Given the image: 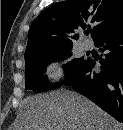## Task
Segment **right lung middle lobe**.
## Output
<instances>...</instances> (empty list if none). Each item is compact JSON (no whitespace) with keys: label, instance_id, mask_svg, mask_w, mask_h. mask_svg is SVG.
I'll return each mask as SVG.
<instances>
[{"label":"right lung middle lobe","instance_id":"1","mask_svg":"<svg viewBox=\"0 0 123 130\" xmlns=\"http://www.w3.org/2000/svg\"><path fill=\"white\" fill-rule=\"evenodd\" d=\"M72 55L71 47L59 51L37 54L25 58V88L34 90L35 92H43L50 89H55L74 76L86 63L83 58L71 59L64 64L66 68V79L62 83H50L47 77H44L46 66L53 62L69 58Z\"/></svg>","mask_w":123,"mask_h":130}]
</instances>
